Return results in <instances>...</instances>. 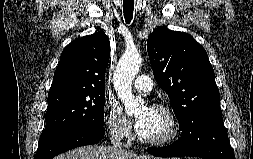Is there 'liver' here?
Here are the masks:
<instances>
[{
	"instance_id": "liver-1",
	"label": "liver",
	"mask_w": 253,
	"mask_h": 159,
	"mask_svg": "<svg viewBox=\"0 0 253 159\" xmlns=\"http://www.w3.org/2000/svg\"><path fill=\"white\" fill-rule=\"evenodd\" d=\"M134 153L113 150L108 146L89 145L75 148L65 154L56 156L54 159H144Z\"/></svg>"
}]
</instances>
